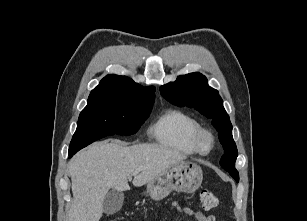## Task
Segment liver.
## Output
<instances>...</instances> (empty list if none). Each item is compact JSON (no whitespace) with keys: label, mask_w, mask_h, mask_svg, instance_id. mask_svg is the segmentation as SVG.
<instances>
[{"label":"liver","mask_w":307,"mask_h":221,"mask_svg":"<svg viewBox=\"0 0 307 221\" xmlns=\"http://www.w3.org/2000/svg\"><path fill=\"white\" fill-rule=\"evenodd\" d=\"M186 156L156 144L126 146L121 142H97L77 153L69 162L73 202L69 221H99L103 200L112 188L130 189L143 186Z\"/></svg>","instance_id":"obj_1"}]
</instances>
